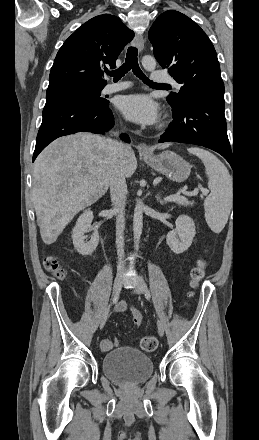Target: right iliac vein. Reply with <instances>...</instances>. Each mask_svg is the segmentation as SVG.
<instances>
[{
    "label": "right iliac vein",
    "instance_id": "63e3f726",
    "mask_svg": "<svg viewBox=\"0 0 259 440\" xmlns=\"http://www.w3.org/2000/svg\"><path fill=\"white\" fill-rule=\"evenodd\" d=\"M123 283V274L122 271H120L114 281V286H113V297H115L121 290V286ZM109 316V307L104 311L103 316L101 318L100 321V329H102L108 319Z\"/></svg>",
    "mask_w": 259,
    "mask_h": 440
}]
</instances>
